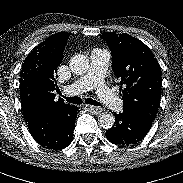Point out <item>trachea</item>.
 <instances>
[{"mask_svg":"<svg viewBox=\"0 0 183 183\" xmlns=\"http://www.w3.org/2000/svg\"><path fill=\"white\" fill-rule=\"evenodd\" d=\"M60 95L62 97H64L68 103L77 104V105L82 103V99L80 97H77V96H75V97H65L62 94H60ZM85 103L95 105V106H101V104L99 102H97L96 100H93L91 98H86Z\"/></svg>","mask_w":183,"mask_h":183,"instance_id":"1","label":"trachea"}]
</instances>
